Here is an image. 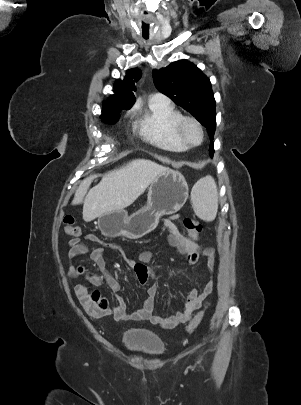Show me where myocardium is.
I'll list each match as a JSON object with an SVG mask.
<instances>
[{"label":"myocardium","instance_id":"1","mask_svg":"<svg viewBox=\"0 0 301 405\" xmlns=\"http://www.w3.org/2000/svg\"><path fill=\"white\" fill-rule=\"evenodd\" d=\"M194 124L199 132H200V141L198 143H192L188 140L185 134V127L187 124ZM176 131L182 142L187 146V147H197L201 145L204 141V128L202 124L200 123L199 120H197L195 117L192 116H181L180 119L178 120L176 124Z\"/></svg>","mask_w":301,"mask_h":405}]
</instances>
